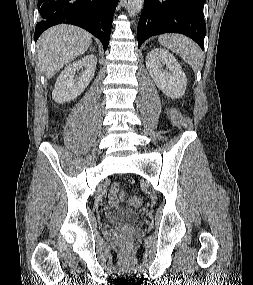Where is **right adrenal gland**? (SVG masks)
<instances>
[{"mask_svg": "<svg viewBox=\"0 0 253 285\" xmlns=\"http://www.w3.org/2000/svg\"><path fill=\"white\" fill-rule=\"evenodd\" d=\"M90 51H94V50L90 47Z\"/></svg>", "mask_w": 253, "mask_h": 285, "instance_id": "1", "label": "right adrenal gland"}]
</instances>
